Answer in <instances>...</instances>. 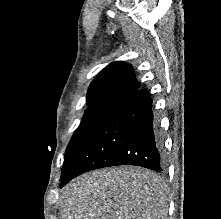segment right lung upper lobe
<instances>
[{"mask_svg":"<svg viewBox=\"0 0 221 219\" xmlns=\"http://www.w3.org/2000/svg\"><path fill=\"white\" fill-rule=\"evenodd\" d=\"M139 88L131 66L124 62H113L105 67L90 85L86 103L121 102Z\"/></svg>","mask_w":221,"mask_h":219,"instance_id":"cb5924a9","label":"right lung upper lobe"}]
</instances>
